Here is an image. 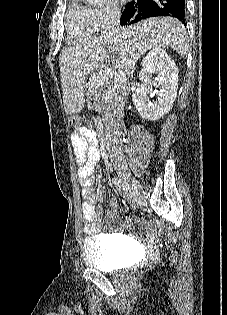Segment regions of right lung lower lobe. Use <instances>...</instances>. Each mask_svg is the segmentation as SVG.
Returning a JSON list of instances; mask_svg holds the SVG:
<instances>
[{
  "label": "right lung lower lobe",
  "mask_w": 227,
  "mask_h": 315,
  "mask_svg": "<svg viewBox=\"0 0 227 315\" xmlns=\"http://www.w3.org/2000/svg\"><path fill=\"white\" fill-rule=\"evenodd\" d=\"M185 0H137L132 1L125 6L122 13L120 24L135 23L142 19L154 16H172L185 21ZM138 14L130 22L135 12Z\"/></svg>",
  "instance_id": "1"
}]
</instances>
